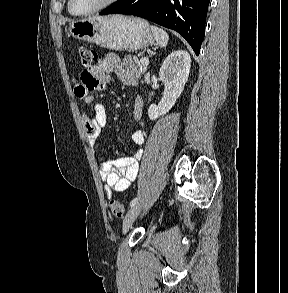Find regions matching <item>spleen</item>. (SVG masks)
I'll list each match as a JSON object with an SVG mask.
<instances>
[{"mask_svg":"<svg viewBox=\"0 0 288 293\" xmlns=\"http://www.w3.org/2000/svg\"><path fill=\"white\" fill-rule=\"evenodd\" d=\"M152 32L154 34L155 40L157 42V44L160 47H166L168 40H169V36L166 33V31H164L161 28H158L156 26H151Z\"/></svg>","mask_w":288,"mask_h":293,"instance_id":"1","label":"spleen"}]
</instances>
